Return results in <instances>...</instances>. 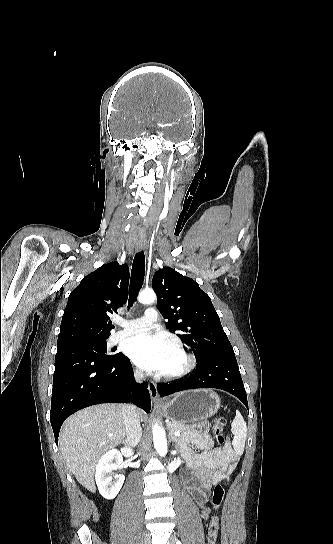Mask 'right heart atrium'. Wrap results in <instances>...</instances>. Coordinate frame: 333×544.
<instances>
[{"mask_svg": "<svg viewBox=\"0 0 333 544\" xmlns=\"http://www.w3.org/2000/svg\"><path fill=\"white\" fill-rule=\"evenodd\" d=\"M135 373H136V375H138V376H140V375L142 374L141 371H140L139 369H135Z\"/></svg>", "mask_w": 333, "mask_h": 544, "instance_id": "right-heart-atrium-1", "label": "right heart atrium"}]
</instances>
